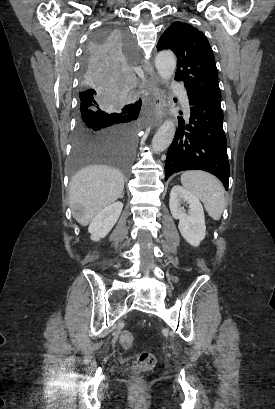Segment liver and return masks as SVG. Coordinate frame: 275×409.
<instances>
[{"label":"liver","instance_id":"1","mask_svg":"<svg viewBox=\"0 0 275 409\" xmlns=\"http://www.w3.org/2000/svg\"><path fill=\"white\" fill-rule=\"evenodd\" d=\"M124 176L118 168L107 164H90L76 172L70 182L71 207H84L85 215L77 219L86 227L90 221L121 196Z\"/></svg>","mask_w":275,"mask_h":409}]
</instances>
